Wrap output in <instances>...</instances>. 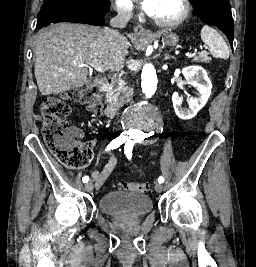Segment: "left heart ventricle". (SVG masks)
Wrapping results in <instances>:
<instances>
[{"label": "left heart ventricle", "mask_w": 256, "mask_h": 267, "mask_svg": "<svg viewBox=\"0 0 256 267\" xmlns=\"http://www.w3.org/2000/svg\"><path fill=\"white\" fill-rule=\"evenodd\" d=\"M179 14H180V10L178 9V7L170 3L161 18L162 22L164 24L170 23L174 19H176L179 16Z\"/></svg>", "instance_id": "left-heart-ventricle-1"}]
</instances>
